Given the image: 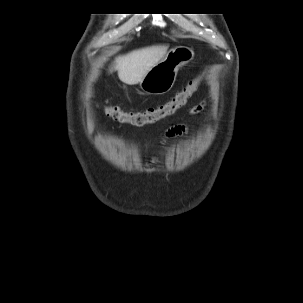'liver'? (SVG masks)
I'll use <instances>...</instances> for the list:
<instances>
[{
    "instance_id": "6515ba94",
    "label": "liver",
    "mask_w": 303,
    "mask_h": 303,
    "mask_svg": "<svg viewBox=\"0 0 303 303\" xmlns=\"http://www.w3.org/2000/svg\"><path fill=\"white\" fill-rule=\"evenodd\" d=\"M167 46H152L132 51L115 59L110 69L118 71L119 79L128 85L139 83L147 72L166 55Z\"/></svg>"
}]
</instances>
